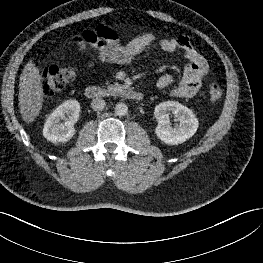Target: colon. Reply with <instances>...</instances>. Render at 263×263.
Masks as SVG:
<instances>
[{
	"label": "colon",
	"mask_w": 263,
	"mask_h": 263,
	"mask_svg": "<svg viewBox=\"0 0 263 263\" xmlns=\"http://www.w3.org/2000/svg\"><path fill=\"white\" fill-rule=\"evenodd\" d=\"M75 68L72 66H48L42 73V92L46 96L62 91L75 77ZM224 96V90L219 84H211L207 97L212 103L219 102Z\"/></svg>",
	"instance_id": "obj_1"
}]
</instances>
